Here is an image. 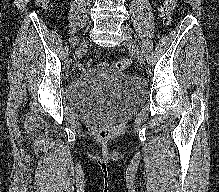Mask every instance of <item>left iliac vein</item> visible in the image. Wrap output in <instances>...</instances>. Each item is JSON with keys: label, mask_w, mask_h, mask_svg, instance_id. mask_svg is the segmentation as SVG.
<instances>
[{"label": "left iliac vein", "mask_w": 219, "mask_h": 192, "mask_svg": "<svg viewBox=\"0 0 219 192\" xmlns=\"http://www.w3.org/2000/svg\"><path fill=\"white\" fill-rule=\"evenodd\" d=\"M122 31L125 37V41L129 48L132 50L134 56L137 58L140 65H144L145 57L142 51L138 48V46L135 43L133 30L128 25H123Z\"/></svg>", "instance_id": "4c4485c4"}]
</instances>
